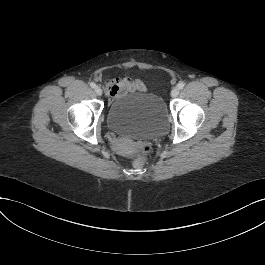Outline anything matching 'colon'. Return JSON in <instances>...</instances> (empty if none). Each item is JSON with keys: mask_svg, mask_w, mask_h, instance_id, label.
<instances>
[{"mask_svg": "<svg viewBox=\"0 0 265 265\" xmlns=\"http://www.w3.org/2000/svg\"><path fill=\"white\" fill-rule=\"evenodd\" d=\"M151 153V147L145 145L141 148L139 156L134 160V166L140 168L145 164L146 159Z\"/></svg>", "mask_w": 265, "mask_h": 265, "instance_id": "1", "label": "colon"}]
</instances>
